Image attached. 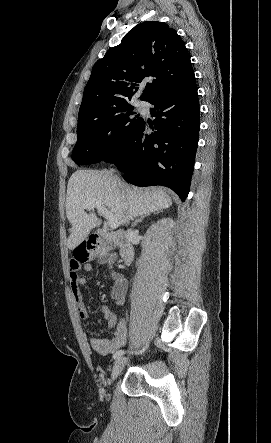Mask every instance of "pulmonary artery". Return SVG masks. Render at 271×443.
Instances as JSON below:
<instances>
[{
	"mask_svg": "<svg viewBox=\"0 0 271 443\" xmlns=\"http://www.w3.org/2000/svg\"><path fill=\"white\" fill-rule=\"evenodd\" d=\"M137 108L144 113H149V103L146 101H138Z\"/></svg>",
	"mask_w": 271,
	"mask_h": 443,
	"instance_id": "obj_1",
	"label": "pulmonary artery"
}]
</instances>
